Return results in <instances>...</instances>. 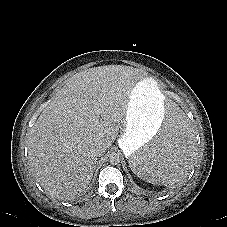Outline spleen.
I'll return each instance as SVG.
<instances>
[{
    "label": "spleen",
    "instance_id": "obj_1",
    "mask_svg": "<svg viewBox=\"0 0 227 227\" xmlns=\"http://www.w3.org/2000/svg\"><path fill=\"white\" fill-rule=\"evenodd\" d=\"M195 159L193 129L182 109L171 106L166 111L163 128L131 155L129 166L147 182L173 187L187 178Z\"/></svg>",
    "mask_w": 227,
    "mask_h": 227
}]
</instances>
